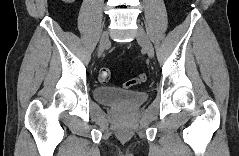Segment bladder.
Listing matches in <instances>:
<instances>
[{"label":"bladder","instance_id":"31cf9c89","mask_svg":"<svg viewBox=\"0 0 239 156\" xmlns=\"http://www.w3.org/2000/svg\"><path fill=\"white\" fill-rule=\"evenodd\" d=\"M95 99L103 104H125L138 106L148 100L149 93L146 90L125 91L119 88L102 86L94 90Z\"/></svg>","mask_w":239,"mask_h":156}]
</instances>
